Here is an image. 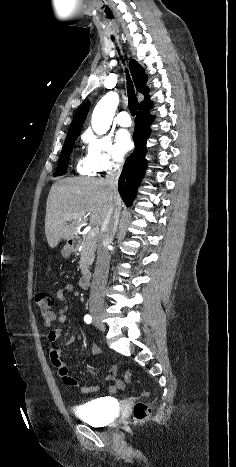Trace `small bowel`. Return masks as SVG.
Returning <instances> with one entry per match:
<instances>
[{"mask_svg":"<svg viewBox=\"0 0 236 467\" xmlns=\"http://www.w3.org/2000/svg\"><path fill=\"white\" fill-rule=\"evenodd\" d=\"M75 286L73 284H67L64 288L59 289L56 292V298L62 303V307L57 312L42 313V319L44 324L47 327H50L54 324H64L67 320V311L69 309V303L66 298V294L74 293ZM61 335L60 329H51L47 334V339L50 343H54ZM76 338L74 335L68 337L66 345H72L75 342ZM93 354L99 353V348L94 346L92 348ZM51 363L54 367L57 368V373L59 378L71 386H79V381L70 374L69 368L62 361L61 352L59 349L52 347L49 352ZM108 380L115 381V384L108 387V392L111 394L116 393L121 387L122 383L117 380V366L115 364H110L109 373L107 375ZM98 390L97 386H82L81 391L85 394L93 393Z\"/></svg>","mask_w":236,"mask_h":467,"instance_id":"obj_1","label":"small bowel"}]
</instances>
